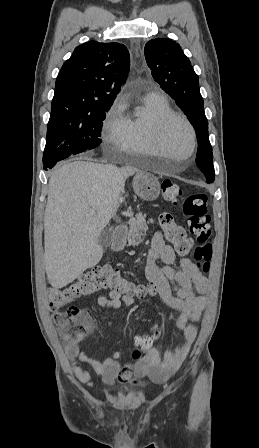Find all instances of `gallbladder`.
Returning a JSON list of instances; mask_svg holds the SVG:
<instances>
[{"instance_id":"obj_1","label":"gallbladder","mask_w":259,"mask_h":448,"mask_svg":"<svg viewBox=\"0 0 259 448\" xmlns=\"http://www.w3.org/2000/svg\"><path fill=\"white\" fill-rule=\"evenodd\" d=\"M113 228H109V230H103L98 238V244L101 248H109L113 242L112 236Z\"/></svg>"}]
</instances>
